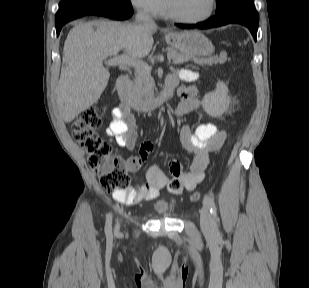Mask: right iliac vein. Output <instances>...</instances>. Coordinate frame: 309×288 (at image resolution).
Returning a JSON list of instances; mask_svg holds the SVG:
<instances>
[{
  "instance_id": "1",
  "label": "right iliac vein",
  "mask_w": 309,
  "mask_h": 288,
  "mask_svg": "<svg viewBox=\"0 0 309 288\" xmlns=\"http://www.w3.org/2000/svg\"><path fill=\"white\" fill-rule=\"evenodd\" d=\"M119 230V224L116 225V232Z\"/></svg>"
}]
</instances>
